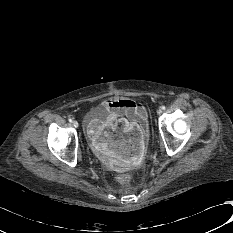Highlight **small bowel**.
I'll use <instances>...</instances> for the list:
<instances>
[{
    "label": "small bowel",
    "mask_w": 233,
    "mask_h": 233,
    "mask_svg": "<svg viewBox=\"0 0 233 233\" xmlns=\"http://www.w3.org/2000/svg\"><path fill=\"white\" fill-rule=\"evenodd\" d=\"M104 106L110 112L107 122L104 124L101 120H93L88 126L92 143L103 153L124 163L137 162L143 153L145 136L136 125L143 124L146 120L145 106L128 98H111L104 102ZM115 121L123 124L121 130H104V125L112 126Z\"/></svg>",
    "instance_id": "1"
}]
</instances>
